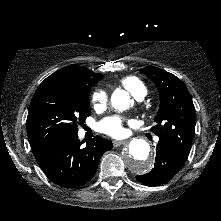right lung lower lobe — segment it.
I'll return each mask as SVG.
<instances>
[{"instance_id":"1","label":"right lung lower lobe","mask_w":221,"mask_h":221,"mask_svg":"<svg viewBox=\"0 0 221 221\" xmlns=\"http://www.w3.org/2000/svg\"><path fill=\"white\" fill-rule=\"evenodd\" d=\"M84 142L78 139L76 132L31 148L39 166L51 181L62 187L76 188L91 180L102 154L113 147L110 140L99 136L82 146Z\"/></svg>"}]
</instances>
